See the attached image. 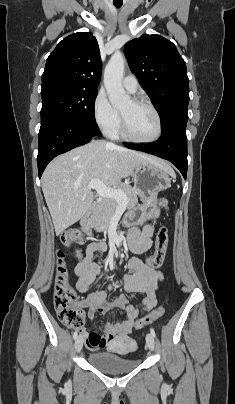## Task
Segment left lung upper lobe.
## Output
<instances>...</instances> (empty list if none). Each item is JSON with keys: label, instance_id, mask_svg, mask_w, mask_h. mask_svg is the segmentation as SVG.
<instances>
[{"label": "left lung upper lobe", "instance_id": "obj_1", "mask_svg": "<svg viewBox=\"0 0 235 404\" xmlns=\"http://www.w3.org/2000/svg\"><path fill=\"white\" fill-rule=\"evenodd\" d=\"M124 53L131 71L161 116L162 134L186 129L189 79L176 46L160 35L145 34L129 41Z\"/></svg>", "mask_w": 235, "mask_h": 404}]
</instances>
